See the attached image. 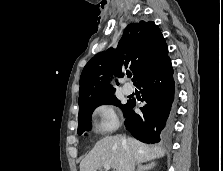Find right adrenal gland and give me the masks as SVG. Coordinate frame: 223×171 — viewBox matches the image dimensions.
<instances>
[{"label": "right adrenal gland", "mask_w": 223, "mask_h": 171, "mask_svg": "<svg viewBox=\"0 0 223 171\" xmlns=\"http://www.w3.org/2000/svg\"><path fill=\"white\" fill-rule=\"evenodd\" d=\"M155 165L156 164L154 162H148L144 165L138 164L137 171H149V170L153 169L155 167Z\"/></svg>", "instance_id": "right-adrenal-gland-1"}]
</instances>
